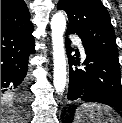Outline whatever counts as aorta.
I'll return each mask as SVG.
<instances>
[{
	"label": "aorta",
	"mask_w": 122,
	"mask_h": 123,
	"mask_svg": "<svg viewBox=\"0 0 122 123\" xmlns=\"http://www.w3.org/2000/svg\"><path fill=\"white\" fill-rule=\"evenodd\" d=\"M66 18L58 12L51 19V37L53 46L54 78L53 84L57 93H63L66 86V58L64 49V32Z\"/></svg>",
	"instance_id": "1"
}]
</instances>
